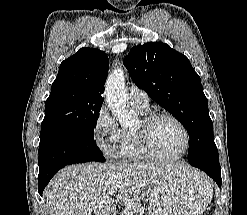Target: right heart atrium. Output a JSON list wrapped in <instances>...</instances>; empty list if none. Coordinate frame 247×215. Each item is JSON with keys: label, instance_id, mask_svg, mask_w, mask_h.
<instances>
[{"label": "right heart atrium", "instance_id": "1", "mask_svg": "<svg viewBox=\"0 0 247 215\" xmlns=\"http://www.w3.org/2000/svg\"><path fill=\"white\" fill-rule=\"evenodd\" d=\"M121 134L122 130L119 128L114 117L110 114L108 108L105 105L101 106L94 120L93 135L99 149L105 156H117Z\"/></svg>", "mask_w": 247, "mask_h": 215}]
</instances>
